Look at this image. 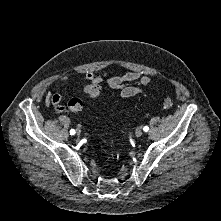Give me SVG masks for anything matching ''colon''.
Here are the masks:
<instances>
[{
	"label": "colon",
	"mask_w": 221,
	"mask_h": 221,
	"mask_svg": "<svg viewBox=\"0 0 221 221\" xmlns=\"http://www.w3.org/2000/svg\"><path fill=\"white\" fill-rule=\"evenodd\" d=\"M84 92L91 96V97H97L100 95L101 93V88L98 84H90L87 85L84 88ZM163 105L165 108H171L173 106V99L171 96H166L163 99ZM68 107L72 110V111H80L83 108V103L80 99L78 98H72L70 99V101L68 102Z\"/></svg>",
	"instance_id": "obj_1"
}]
</instances>
